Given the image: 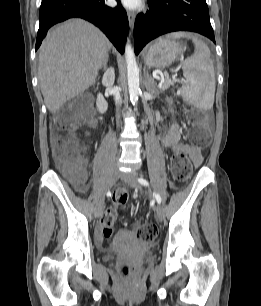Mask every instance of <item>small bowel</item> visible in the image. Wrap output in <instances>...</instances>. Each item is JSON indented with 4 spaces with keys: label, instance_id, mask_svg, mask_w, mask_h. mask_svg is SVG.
I'll list each match as a JSON object with an SVG mask.
<instances>
[{
    "label": "small bowel",
    "instance_id": "obj_1",
    "mask_svg": "<svg viewBox=\"0 0 261 306\" xmlns=\"http://www.w3.org/2000/svg\"><path fill=\"white\" fill-rule=\"evenodd\" d=\"M181 129L177 124H172L168 131L163 135V145L171 151H184L189 154L196 166H199L203 162V153L192 146H188L180 142Z\"/></svg>",
    "mask_w": 261,
    "mask_h": 306
}]
</instances>
